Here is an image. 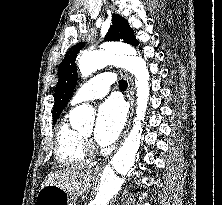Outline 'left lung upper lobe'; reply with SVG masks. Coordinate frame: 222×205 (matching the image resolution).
I'll use <instances>...</instances> for the list:
<instances>
[{"label":"left lung upper lobe","instance_id":"5c2ea615","mask_svg":"<svg viewBox=\"0 0 222 205\" xmlns=\"http://www.w3.org/2000/svg\"><path fill=\"white\" fill-rule=\"evenodd\" d=\"M107 41L123 40L133 46L138 45V40L134 36V31L128 21L118 14H112V25L105 36ZM85 43H78L71 47L60 63L58 68V83L55 88V104L53 108V123H56L62 110L69 101L77 81V69L75 59L78 52L84 48Z\"/></svg>","mask_w":222,"mask_h":205}]
</instances>
